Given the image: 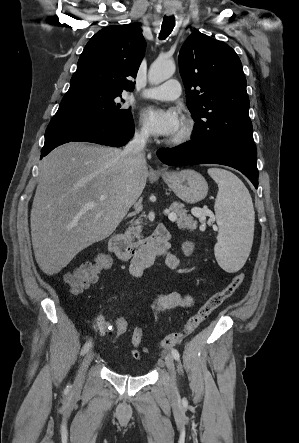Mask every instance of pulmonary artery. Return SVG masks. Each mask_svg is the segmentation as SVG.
Segmentation results:
<instances>
[{
    "label": "pulmonary artery",
    "instance_id": "obj_1",
    "mask_svg": "<svg viewBox=\"0 0 299 443\" xmlns=\"http://www.w3.org/2000/svg\"><path fill=\"white\" fill-rule=\"evenodd\" d=\"M180 94L181 86L175 79H170L156 87L147 88L143 92L145 98L156 100H174L177 99Z\"/></svg>",
    "mask_w": 299,
    "mask_h": 443
}]
</instances>
